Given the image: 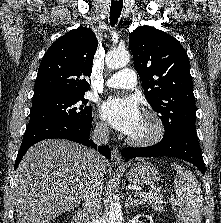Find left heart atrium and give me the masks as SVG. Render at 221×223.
Segmentation results:
<instances>
[{"label": "left heart atrium", "instance_id": "obj_1", "mask_svg": "<svg viewBox=\"0 0 221 223\" xmlns=\"http://www.w3.org/2000/svg\"><path fill=\"white\" fill-rule=\"evenodd\" d=\"M100 112L104 120L125 135H131L143 117L133 97H111L102 103Z\"/></svg>", "mask_w": 221, "mask_h": 223}]
</instances>
